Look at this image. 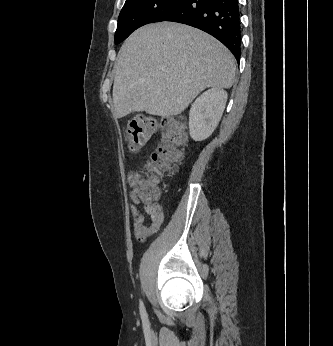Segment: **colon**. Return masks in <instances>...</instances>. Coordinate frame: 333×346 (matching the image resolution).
<instances>
[{
	"label": "colon",
	"instance_id": "5ec220e1",
	"mask_svg": "<svg viewBox=\"0 0 333 346\" xmlns=\"http://www.w3.org/2000/svg\"><path fill=\"white\" fill-rule=\"evenodd\" d=\"M158 128V122L145 115H138L127 126L125 136L131 151L146 146ZM185 135L178 120L167 119L162 125L161 141L158 149L146 162V175L141 178L139 190L145 199L156 201L160 185V176L171 173L180 162Z\"/></svg>",
	"mask_w": 333,
	"mask_h": 346
}]
</instances>
